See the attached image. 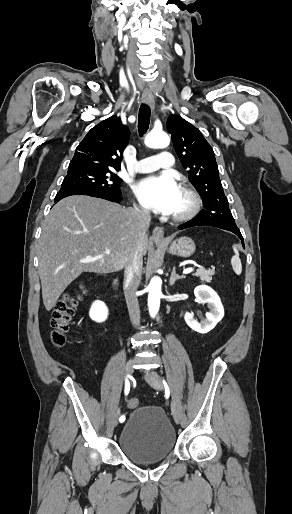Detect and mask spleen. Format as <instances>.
I'll return each instance as SVG.
<instances>
[{"label":"spleen","mask_w":292,"mask_h":514,"mask_svg":"<svg viewBox=\"0 0 292 514\" xmlns=\"http://www.w3.org/2000/svg\"><path fill=\"white\" fill-rule=\"evenodd\" d=\"M233 250L235 252V256H233V258H231V266H232L235 274H237V276H240V274L242 272V264H241V260L239 258V252H238V250H236L235 246H233Z\"/></svg>","instance_id":"obj_1"}]
</instances>
